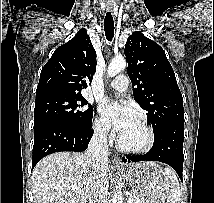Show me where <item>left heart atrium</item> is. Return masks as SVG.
<instances>
[{
	"instance_id": "1",
	"label": "left heart atrium",
	"mask_w": 214,
	"mask_h": 203,
	"mask_svg": "<svg viewBox=\"0 0 214 203\" xmlns=\"http://www.w3.org/2000/svg\"><path fill=\"white\" fill-rule=\"evenodd\" d=\"M102 115L107 123L120 134L138 121L135 108L127 101L107 102L101 107Z\"/></svg>"
}]
</instances>
